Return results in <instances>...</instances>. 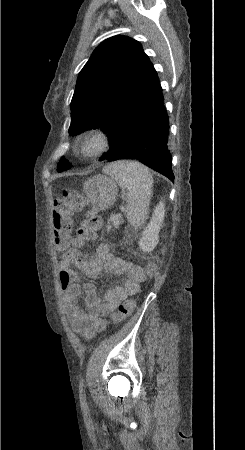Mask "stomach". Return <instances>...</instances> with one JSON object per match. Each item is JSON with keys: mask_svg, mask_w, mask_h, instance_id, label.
<instances>
[{"mask_svg": "<svg viewBox=\"0 0 245 450\" xmlns=\"http://www.w3.org/2000/svg\"><path fill=\"white\" fill-rule=\"evenodd\" d=\"M83 191L87 202L98 211L111 207L118 196V186L112 176L96 175L89 178L83 183Z\"/></svg>", "mask_w": 245, "mask_h": 450, "instance_id": "stomach-1", "label": "stomach"}]
</instances>
